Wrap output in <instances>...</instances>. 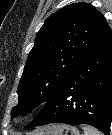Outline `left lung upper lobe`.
<instances>
[{"label":"left lung upper lobe","mask_w":112,"mask_h":135,"mask_svg":"<svg viewBox=\"0 0 112 135\" xmlns=\"http://www.w3.org/2000/svg\"><path fill=\"white\" fill-rule=\"evenodd\" d=\"M108 30L105 17L88 3L49 16L25 64L12 118L47 102Z\"/></svg>","instance_id":"obj_1"}]
</instances>
